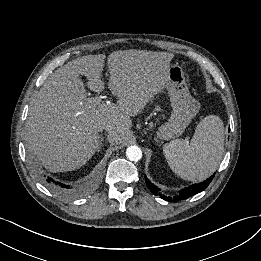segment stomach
<instances>
[{"mask_svg": "<svg viewBox=\"0 0 261 261\" xmlns=\"http://www.w3.org/2000/svg\"><path fill=\"white\" fill-rule=\"evenodd\" d=\"M165 88L170 97L172 113L168 121L157 129V141L181 136L200 109V103L189 92L183 68L178 64L169 66Z\"/></svg>", "mask_w": 261, "mask_h": 261, "instance_id": "1", "label": "stomach"}]
</instances>
